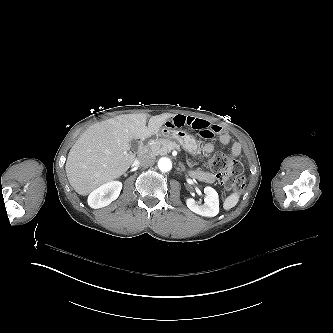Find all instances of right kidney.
Segmentation results:
<instances>
[{
	"label": "right kidney",
	"mask_w": 333,
	"mask_h": 333,
	"mask_svg": "<svg viewBox=\"0 0 333 333\" xmlns=\"http://www.w3.org/2000/svg\"><path fill=\"white\" fill-rule=\"evenodd\" d=\"M121 189L122 183L117 181L101 186L89 196V206L93 209H99L110 205L113 200L119 197Z\"/></svg>",
	"instance_id": "1"
}]
</instances>
